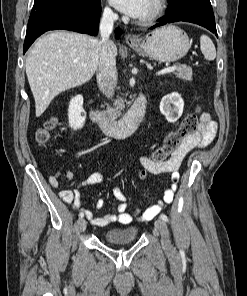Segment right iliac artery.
<instances>
[{
	"label": "right iliac artery",
	"mask_w": 247,
	"mask_h": 296,
	"mask_svg": "<svg viewBox=\"0 0 247 296\" xmlns=\"http://www.w3.org/2000/svg\"><path fill=\"white\" fill-rule=\"evenodd\" d=\"M79 217H80V218H83V217H84V215H83L82 213H80V214H79Z\"/></svg>",
	"instance_id": "obj_1"
}]
</instances>
